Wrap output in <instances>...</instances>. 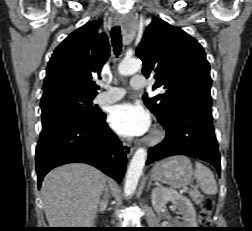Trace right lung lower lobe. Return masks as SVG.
<instances>
[{
	"label": "right lung lower lobe",
	"instance_id": "98d812e1",
	"mask_svg": "<svg viewBox=\"0 0 252 231\" xmlns=\"http://www.w3.org/2000/svg\"><path fill=\"white\" fill-rule=\"evenodd\" d=\"M35 158L38 185L51 169L74 162L90 164L119 183L127 161L102 111L92 119L62 118L42 126Z\"/></svg>",
	"mask_w": 252,
	"mask_h": 231
}]
</instances>
